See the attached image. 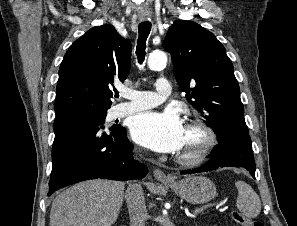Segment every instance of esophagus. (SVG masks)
I'll list each match as a JSON object with an SVG mask.
<instances>
[{
    "label": "esophagus",
    "mask_w": 297,
    "mask_h": 226,
    "mask_svg": "<svg viewBox=\"0 0 297 226\" xmlns=\"http://www.w3.org/2000/svg\"><path fill=\"white\" fill-rule=\"evenodd\" d=\"M153 175L160 182L173 181L171 177L167 176L162 170H160L158 168L154 169Z\"/></svg>",
    "instance_id": "1"
}]
</instances>
